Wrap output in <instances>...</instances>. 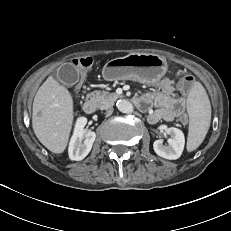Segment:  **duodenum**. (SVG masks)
I'll use <instances>...</instances> for the list:
<instances>
[{"label":"duodenum","mask_w":231,"mask_h":231,"mask_svg":"<svg viewBox=\"0 0 231 231\" xmlns=\"http://www.w3.org/2000/svg\"><path fill=\"white\" fill-rule=\"evenodd\" d=\"M134 104L135 106L141 110L145 111L146 109V104L142 101L141 98H135L134 99ZM97 109V103L93 98H87L84 103H83V110L87 114H92L96 111Z\"/></svg>","instance_id":"410a0bca"}]
</instances>
